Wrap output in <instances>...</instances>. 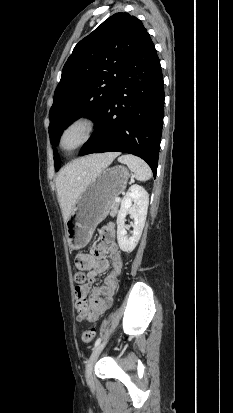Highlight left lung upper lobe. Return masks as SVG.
<instances>
[{"mask_svg":"<svg viewBox=\"0 0 233 413\" xmlns=\"http://www.w3.org/2000/svg\"><path fill=\"white\" fill-rule=\"evenodd\" d=\"M146 28L135 16L116 13L82 39L66 61L49 112L50 142L82 115L97 121L125 67L141 44ZM54 166L60 160L54 151Z\"/></svg>","mask_w":233,"mask_h":413,"instance_id":"5c2ea615","label":"left lung upper lobe"}]
</instances>
